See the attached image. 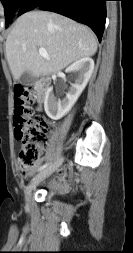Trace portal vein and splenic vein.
<instances>
[{
  "label": "portal vein and splenic vein",
  "instance_id": "1",
  "mask_svg": "<svg viewBox=\"0 0 133 253\" xmlns=\"http://www.w3.org/2000/svg\"><path fill=\"white\" fill-rule=\"evenodd\" d=\"M38 52H39V54H40L41 56H43V57H45V58H47V59L49 58V57H48V53H47V51H46L45 48H39Z\"/></svg>",
  "mask_w": 133,
  "mask_h": 253
}]
</instances>
